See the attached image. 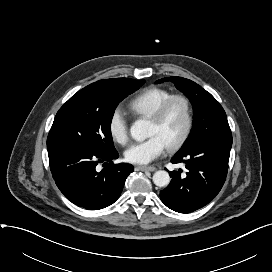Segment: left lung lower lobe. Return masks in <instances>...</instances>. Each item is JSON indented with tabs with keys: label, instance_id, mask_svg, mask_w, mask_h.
Returning a JSON list of instances; mask_svg holds the SVG:
<instances>
[{
	"label": "left lung lower lobe",
	"instance_id": "left-lung-lower-lobe-1",
	"mask_svg": "<svg viewBox=\"0 0 272 272\" xmlns=\"http://www.w3.org/2000/svg\"><path fill=\"white\" fill-rule=\"evenodd\" d=\"M232 135L204 140L178 151L172 163H184L182 170L169 172L172 180L160 192L162 202L179 213H190L211 202L221 190L228 171Z\"/></svg>",
	"mask_w": 272,
	"mask_h": 272
}]
</instances>
